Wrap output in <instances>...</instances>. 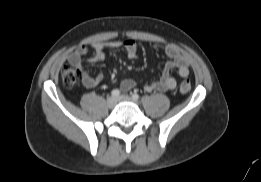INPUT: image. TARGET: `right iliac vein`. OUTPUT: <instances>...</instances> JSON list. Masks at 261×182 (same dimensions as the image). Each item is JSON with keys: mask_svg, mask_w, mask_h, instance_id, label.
<instances>
[{"mask_svg": "<svg viewBox=\"0 0 261 182\" xmlns=\"http://www.w3.org/2000/svg\"><path fill=\"white\" fill-rule=\"evenodd\" d=\"M116 99L114 97H108L107 101H106V105L108 108L112 109L115 107L116 105Z\"/></svg>", "mask_w": 261, "mask_h": 182, "instance_id": "1", "label": "right iliac vein"}]
</instances>
